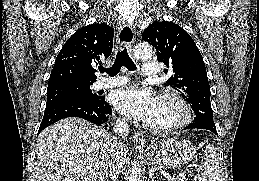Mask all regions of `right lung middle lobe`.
<instances>
[{
	"instance_id": "right-lung-middle-lobe-1",
	"label": "right lung middle lobe",
	"mask_w": 259,
	"mask_h": 181,
	"mask_svg": "<svg viewBox=\"0 0 259 181\" xmlns=\"http://www.w3.org/2000/svg\"><path fill=\"white\" fill-rule=\"evenodd\" d=\"M92 83H62L50 85L47 89L46 107L62 99L85 98L92 101H97L100 96L92 93L90 90Z\"/></svg>"
}]
</instances>
